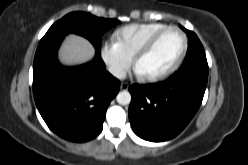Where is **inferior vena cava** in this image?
I'll return each instance as SVG.
<instances>
[{"label": "inferior vena cava", "mask_w": 248, "mask_h": 165, "mask_svg": "<svg viewBox=\"0 0 248 165\" xmlns=\"http://www.w3.org/2000/svg\"><path fill=\"white\" fill-rule=\"evenodd\" d=\"M109 72L113 75V76H115V77H117V78H119V79H123V78H125L126 77V71L123 69V68H121V67H118V66H111V67H109Z\"/></svg>", "instance_id": "602c4592"}]
</instances>
